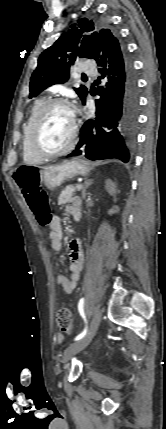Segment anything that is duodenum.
I'll use <instances>...</instances> for the list:
<instances>
[{
    "mask_svg": "<svg viewBox=\"0 0 166 429\" xmlns=\"http://www.w3.org/2000/svg\"><path fill=\"white\" fill-rule=\"evenodd\" d=\"M74 216H75L76 218H78V217H79V214H78V213H75V214H74Z\"/></svg>",
    "mask_w": 166,
    "mask_h": 429,
    "instance_id": "1",
    "label": "duodenum"
}]
</instances>
